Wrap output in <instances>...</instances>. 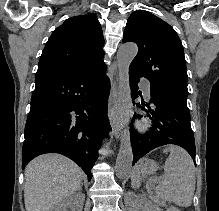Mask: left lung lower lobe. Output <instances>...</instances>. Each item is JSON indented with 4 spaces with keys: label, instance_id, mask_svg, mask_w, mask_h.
I'll use <instances>...</instances> for the list:
<instances>
[{
    "label": "left lung lower lobe",
    "instance_id": "left-lung-lower-lobe-1",
    "mask_svg": "<svg viewBox=\"0 0 219 211\" xmlns=\"http://www.w3.org/2000/svg\"><path fill=\"white\" fill-rule=\"evenodd\" d=\"M130 83L132 88V98L136 99L141 95L137 91L140 74L130 72ZM148 115L153 122L150 131L140 134L132 127L131 145L133 149V164L151 150L167 145L174 144L183 147L195 160V141L190 124V113L187 106L180 101L170 98L163 93L150 89V99L145 102L143 99L134 103ZM141 116L134 115L133 121ZM195 162V161H194Z\"/></svg>",
    "mask_w": 219,
    "mask_h": 211
}]
</instances>
